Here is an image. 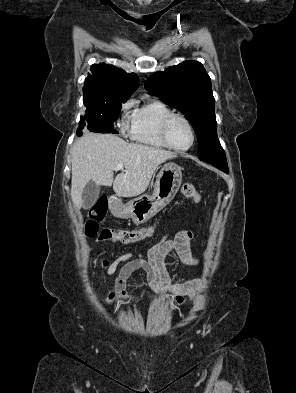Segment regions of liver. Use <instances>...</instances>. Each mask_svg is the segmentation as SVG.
Returning a JSON list of instances; mask_svg holds the SVG:
<instances>
[{
  "label": "liver",
  "mask_w": 296,
  "mask_h": 393,
  "mask_svg": "<svg viewBox=\"0 0 296 393\" xmlns=\"http://www.w3.org/2000/svg\"><path fill=\"white\" fill-rule=\"evenodd\" d=\"M71 198L82 206V192L93 181L111 186L119 197H134L145 192L157 167L176 155L170 151L127 143L111 134L85 132L72 150ZM123 163L125 170L114 179V168Z\"/></svg>",
  "instance_id": "6515ba94"
}]
</instances>
